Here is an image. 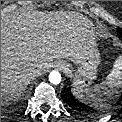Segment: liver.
Wrapping results in <instances>:
<instances>
[{"label":"liver","mask_w":122,"mask_h":122,"mask_svg":"<svg viewBox=\"0 0 122 122\" xmlns=\"http://www.w3.org/2000/svg\"><path fill=\"white\" fill-rule=\"evenodd\" d=\"M95 49L93 23L81 14L18 11L2 16L1 103L18 98L55 58L77 64ZM37 65H42L40 74Z\"/></svg>","instance_id":"1"}]
</instances>
